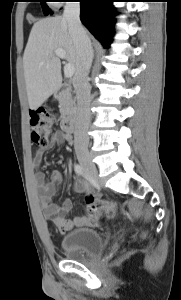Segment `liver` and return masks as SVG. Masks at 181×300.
Masks as SVG:
<instances>
[{"label": "liver", "mask_w": 181, "mask_h": 300, "mask_svg": "<svg viewBox=\"0 0 181 300\" xmlns=\"http://www.w3.org/2000/svg\"><path fill=\"white\" fill-rule=\"evenodd\" d=\"M56 49L66 52V61L76 71V49L61 16L36 22L30 32L23 55L24 78L29 107L41 106L61 85V61Z\"/></svg>", "instance_id": "1"}]
</instances>
